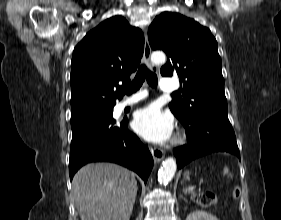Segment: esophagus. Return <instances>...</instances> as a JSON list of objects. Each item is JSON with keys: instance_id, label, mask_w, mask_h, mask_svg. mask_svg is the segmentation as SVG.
Returning a JSON list of instances; mask_svg holds the SVG:
<instances>
[{"instance_id": "1", "label": "esophagus", "mask_w": 281, "mask_h": 220, "mask_svg": "<svg viewBox=\"0 0 281 220\" xmlns=\"http://www.w3.org/2000/svg\"><path fill=\"white\" fill-rule=\"evenodd\" d=\"M150 56H151V47L147 38V35L145 33V44H144V55H143V60L146 66L152 71V72H157V68L151 63L150 61ZM151 153L153 156V159L155 162H160L164 158V151L162 149L158 148H151Z\"/></svg>"}]
</instances>
